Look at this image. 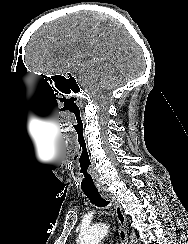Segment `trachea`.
Here are the masks:
<instances>
[{
    "instance_id": "3493384b",
    "label": "trachea",
    "mask_w": 188,
    "mask_h": 244,
    "mask_svg": "<svg viewBox=\"0 0 188 244\" xmlns=\"http://www.w3.org/2000/svg\"><path fill=\"white\" fill-rule=\"evenodd\" d=\"M89 175L87 174V177ZM81 187L84 194L89 198L90 202L97 207H105L109 204L104 198H102L96 188V180H81Z\"/></svg>"
}]
</instances>
